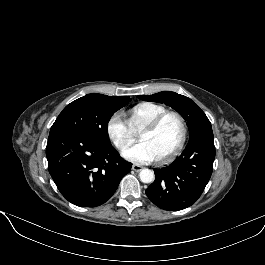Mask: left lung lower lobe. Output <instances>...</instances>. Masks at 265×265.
Masks as SVG:
<instances>
[{"label":"left lung lower lobe","mask_w":265,"mask_h":265,"mask_svg":"<svg viewBox=\"0 0 265 265\" xmlns=\"http://www.w3.org/2000/svg\"><path fill=\"white\" fill-rule=\"evenodd\" d=\"M214 136L211 127L190 135L189 142L171 164L155 169L147 188L148 198L164 210H182L194 204L204 191L213 170Z\"/></svg>","instance_id":"0a47b994"}]
</instances>
